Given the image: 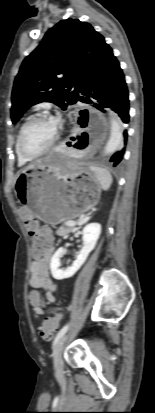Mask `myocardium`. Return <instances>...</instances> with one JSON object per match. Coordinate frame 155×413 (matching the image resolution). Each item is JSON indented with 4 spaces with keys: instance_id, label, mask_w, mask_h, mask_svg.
<instances>
[{
    "instance_id": "obj_1",
    "label": "myocardium",
    "mask_w": 155,
    "mask_h": 413,
    "mask_svg": "<svg viewBox=\"0 0 155 413\" xmlns=\"http://www.w3.org/2000/svg\"><path fill=\"white\" fill-rule=\"evenodd\" d=\"M41 120H51L50 116L45 114V113H39L36 114L32 117H30L21 127L20 131H19V135H18V148L20 153L22 154L23 157L27 158V159H35L38 157L43 156L44 154L48 153L49 151H51L54 147L55 144L59 138V132L57 130L56 135L54 137V139L51 141V143L45 147L44 149L38 151V152H30L25 148L24 145V136H25V132L28 129V127L30 125H32L34 122L36 121H41Z\"/></svg>"
}]
</instances>
